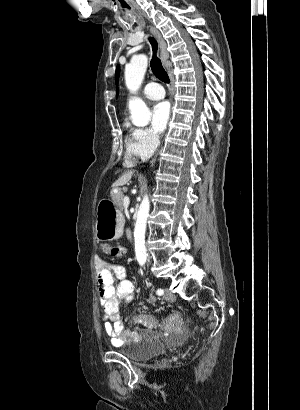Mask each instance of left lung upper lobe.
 <instances>
[{"instance_id": "obj_1", "label": "left lung upper lobe", "mask_w": 300, "mask_h": 410, "mask_svg": "<svg viewBox=\"0 0 300 410\" xmlns=\"http://www.w3.org/2000/svg\"><path fill=\"white\" fill-rule=\"evenodd\" d=\"M118 76H119V66L116 69V80H118Z\"/></svg>"}]
</instances>
